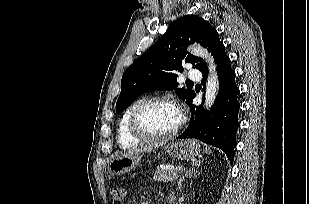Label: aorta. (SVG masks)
Here are the masks:
<instances>
[{
  "label": "aorta",
  "mask_w": 309,
  "mask_h": 204,
  "mask_svg": "<svg viewBox=\"0 0 309 204\" xmlns=\"http://www.w3.org/2000/svg\"><path fill=\"white\" fill-rule=\"evenodd\" d=\"M188 50L193 55L203 58L208 64L209 73L205 89V108L209 110L216 100L219 89V80L215 62L207 50L201 46L193 45L190 46Z\"/></svg>",
  "instance_id": "1"
}]
</instances>
